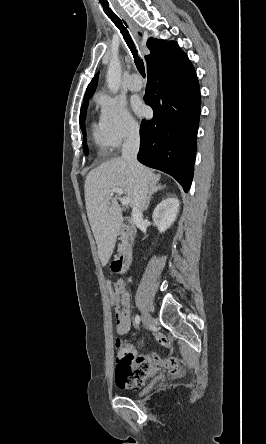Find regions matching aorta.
Instances as JSON below:
<instances>
[{
    "instance_id": "1",
    "label": "aorta",
    "mask_w": 266,
    "mask_h": 444,
    "mask_svg": "<svg viewBox=\"0 0 266 444\" xmlns=\"http://www.w3.org/2000/svg\"><path fill=\"white\" fill-rule=\"evenodd\" d=\"M120 80H121V64L118 58H112L108 69H107V75H106V82L108 89L112 93H116L120 86Z\"/></svg>"
}]
</instances>
